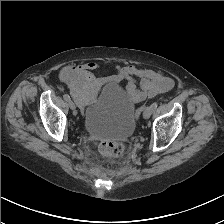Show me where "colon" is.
<instances>
[{
    "instance_id": "5ec220e1",
    "label": "colon",
    "mask_w": 224,
    "mask_h": 224,
    "mask_svg": "<svg viewBox=\"0 0 224 224\" xmlns=\"http://www.w3.org/2000/svg\"><path fill=\"white\" fill-rule=\"evenodd\" d=\"M69 89L80 104L92 102L98 92L94 77L85 68L72 69L66 74ZM99 151L107 157H118L122 155L124 146L121 142L113 139H105L99 143Z\"/></svg>"
}]
</instances>
